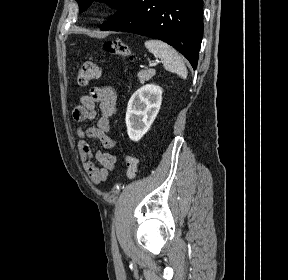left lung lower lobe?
Wrapping results in <instances>:
<instances>
[{"label": "left lung lower lobe", "mask_w": 288, "mask_h": 280, "mask_svg": "<svg viewBox=\"0 0 288 280\" xmlns=\"http://www.w3.org/2000/svg\"><path fill=\"white\" fill-rule=\"evenodd\" d=\"M203 0H132L101 30L132 32L160 39L183 54L196 69L203 34Z\"/></svg>", "instance_id": "obj_1"}]
</instances>
